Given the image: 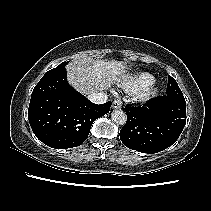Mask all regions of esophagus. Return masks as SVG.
I'll return each mask as SVG.
<instances>
[{"mask_svg": "<svg viewBox=\"0 0 211 211\" xmlns=\"http://www.w3.org/2000/svg\"><path fill=\"white\" fill-rule=\"evenodd\" d=\"M121 106H122V103H121L120 100H114L113 103H112V107H113L114 109H120Z\"/></svg>", "mask_w": 211, "mask_h": 211, "instance_id": "1", "label": "esophagus"}]
</instances>
